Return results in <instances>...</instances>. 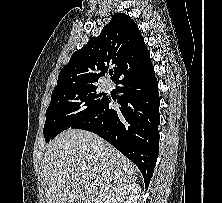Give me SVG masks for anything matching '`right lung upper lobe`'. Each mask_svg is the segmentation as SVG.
Returning a JSON list of instances; mask_svg holds the SVG:
<instances>
[{"instance_id": "cb5924a9", "label": "right lung upper lobe", "mask_w": 222, "mask_h": 203, "mask_svg": "<svg viewBox=\"0 0 222 203\" xmlns=\"http://www.w3.org/2000/svg\"><path fill=\"white\" fill-rule=\"evenodd\" d=\"M150 60L138 26L126 14L117 13L97 37H92L74 52L58 76L53 92L68 88L95 85L110 65L115 81L124 73Z\"/></svg>"}]
</instances>
